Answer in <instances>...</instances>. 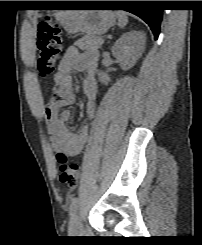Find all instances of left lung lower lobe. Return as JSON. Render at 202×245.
<instances>
[{"mask_svg": "<svg viewBox=\"0 0 202 245\" xmlns=\"http://www.w3.org/2000/svg\"><path fill=\"white\" fill-rule=\"evenodd\" d=\"M87 6L124 7L123 10L143 19L151 28L155 39L158 38L163 10L157 9L149 1H85Z\"/></svg>", "mask_w": 202, "mask_h": 245, "instance_id": "left-lung-lower-lobe-1", "label": "left lung lower lobe"}]
</instances>
